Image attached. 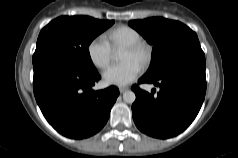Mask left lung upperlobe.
<instances>
[{"mask_svg":"<svg viewBox=\"0 0 238 158\" xmlns=\"http://www.w3.org/2000/svg\"><path fill=\"white\" fill-rule=\"evenodd\" d=\"M129 25L153 45L146 78H153L178 62L205 57L196 33L181 22L153 17L132 20Z\"/></svg>","mask_w":238,"mask_h":158,"instance_id":"5c2ea615","label":"left lung upper lobe"}]
</instances>
